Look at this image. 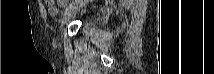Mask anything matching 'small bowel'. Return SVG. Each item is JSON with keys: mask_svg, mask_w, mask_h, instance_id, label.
<instances>
[{"mask_svg": "<svg viewBox=\"0 0 214 74\" xmlns=\"http://www.w3.org/2000/svg\"><path fill=\"white\" fill-rule=\"evenodd\" d=\"M61 6H63V5H61ZM49 12L51 13V14H53V15H56L57 13H58V7L57 6H50L49 7Z\"/></svg>", "mask_w": 214, "mask_h": 74, "instance_id": "1", "label": "small bowel"}]
</instances>
